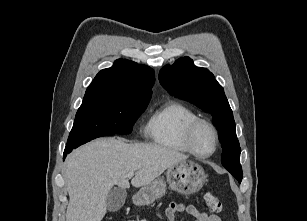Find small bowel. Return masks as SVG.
I'll return each instance as SVG.
<instances>
[{
  "label": "small bowel",
  "mask_w": 307,
  "mask_h": 221,
  "mask_svg": "<svg viewBox=\"0 0 307 221\" xmlns=\"http://www.w3.org/2000/svg\"><path fill=\"white\" fill-rule=\"evenodd\" d=\"M165 214L168 221H175L177 214L192 215L197 219V221H221L220 217L216 214H207L199 211L193 205H185L181 203H170Z\"/></svg>",
  "instance_id": "small-bowel-1"
}]
</instances>
